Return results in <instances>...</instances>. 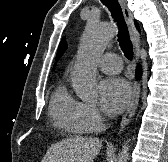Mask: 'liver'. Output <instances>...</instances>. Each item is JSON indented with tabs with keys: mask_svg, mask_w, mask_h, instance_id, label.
<instances>
[{
	"mask_svg": "<svg viewBox=\"0 0 168 162\" xmlns=\"http://www.w3.org/2000/svg\"><path fill=\"white\" fill-rule=\"evenodd\" d=\"M99 138L74 137L53 144L41 162H93L99 154Z\"/></svg>",
	"mask_w": 168,
	"mask_h": 162,
	"instance_id": "1",
	"label": "liver"
}]
</instances>
